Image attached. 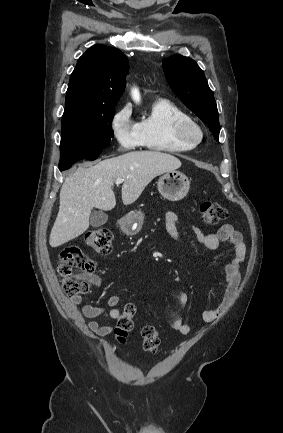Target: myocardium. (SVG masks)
I'll list each match as a JSON object with an SVG mask.
<instances>
[{
  "label": "myocardium",
  "mask_w": 283,
  "mask_h": 433,
  "mask_svg": "<svg viewBox=\"0 0 283 433\" xmlns=\"http://www.w3.org/2000/svg\"><path fill=\"white\" fill-rule=\"evenodd\" d=\"M193 129L197 136L193 140L187 138V132ZM173 139L182 150H191L204 139L205 132L202 125L192 117H183L176 120L173 127Z\"/></svg>",
  "instance_id": "1"
}]
</instances>
